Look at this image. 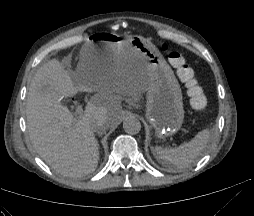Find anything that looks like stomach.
<instances>
[{"label":"stomach","mask_w":254,"mask_h":216,"mask_svg":"<svg viewBox=\"0 0 254 216\" xmlns=\"http://www.w3.org/2000/svg\"><path fill=\"white\" fill-rule=\"evenodd\" d=\"M143 63L149 74L145 116L158 138L176 133L184 120L180 85L163 55L150 41L140 36L120 40L99 33L89 42L88 63L95 71L115 65Z\"/></svg>","instance_id":"0dacf381"}]
</instances>
